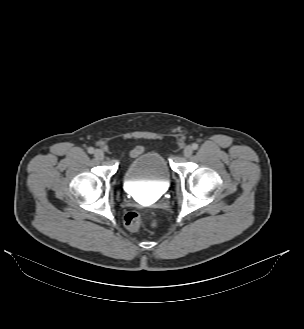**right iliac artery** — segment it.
Returning <instances> with one entry per match:
<instances>
[{
    "instance_id": "82829eb1",
    "label": "right iliac artery",
    "mask_w": 304,
    "mask_h": 329,
    "mask_svg": "<svg viewBox=\"0 0 304 329\" xmlns=\"http://www.w3.org/2000/svg\"><path fill=\"white\" fill-rule=\"evenodd\" d=\"M88 153L93 154L94 153V148L93 147H89L88 148Z\"/></svg>"
}]
</instances>
